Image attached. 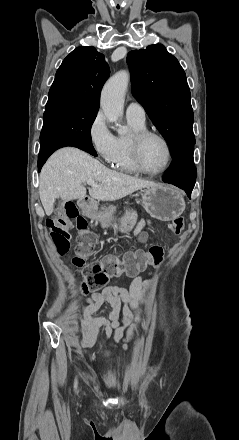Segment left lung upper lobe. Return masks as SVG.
<instances>
[{"mask_svg": "<svg viewBox=\"0 0 239 440\" xmlns=\"http://www.w3.org/2000/svg\"><path fill=\"white\" fill-rule=\"evenodd\" d=\"M132 93L167 141L172 155L194 145L193 110L186 75L161 44L127 55Z\"/></svg>", "mask_w": 239, "mask_h": 440, "instance_id": "left-lung-upper-lobe-1", "label": "left lung upper lobe"}]
</instances>
